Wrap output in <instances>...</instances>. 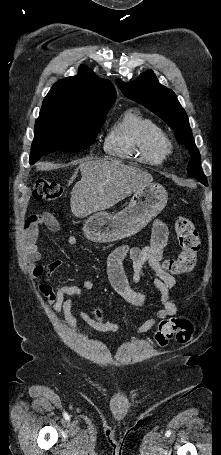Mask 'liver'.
I'll return each mask as SVG.
<instances>
[{"instance_id":"obj_1","label":"liver","mask_w":221,"mask_h":455,"mask_svg":"<svg viewBox=\"0 0 221 455\" xmlns=\"http://www.w3.org/2000/svg\"><path fill=\"white\" fill-rule=\"evenodd\" d=\"M78 169L82 178L74 185L70 202L71 211L78 218L114 206L153 180L150 173L117 160H88L80 163Z\"/></svg>"}]
</instances>
